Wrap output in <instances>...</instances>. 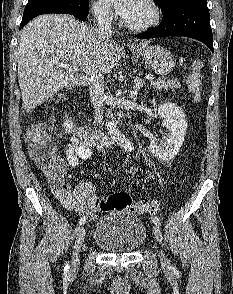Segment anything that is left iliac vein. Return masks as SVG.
<instances>
[{"mask_svg": "<svg viewBox=\"0 0 233 294\" xmlns=\"http://www.w3.org/2000/svg\"><path fill=\"white\" fill-rule=\"evenodd\" d=\"M152 229H153V234H154L156 240L160 244H162V233H161V230H160L159 226L155 224V225H153V228ZM160 258H161L162 265L163 266H167L168 265V261H167V258H166V256H165V254H164L163 251H161Z\"/></svg>", "mask_w": 233, "mask_h": 294, "instance_id": "4c4485c4", "label": "left iliac vein"}]
</instances>
